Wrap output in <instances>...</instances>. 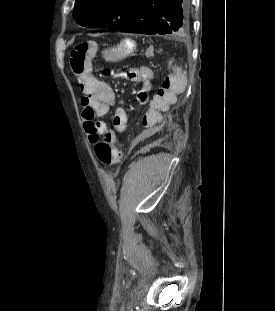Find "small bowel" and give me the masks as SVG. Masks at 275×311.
<instances>
[{"label": "small bowel", "instance_id": "small-bowel-1", "mask_svg": "<svg viewBox=\"0 0 275 311\" xmlns=\"http://www.w3.org/2000/svg\"><path fill=\"white\" fill-rule=\"evenodd\" d=\"M166 73H155L151 65H140L139 69H131L129 78L141 82V91H138L136 101L141 103L144 112H141L140 122L142 129H153L162 121L166 112H173L177 108L180 98H186L189 87L187 75L179 69L177 56H166ZM152 80V82L150 81ZM78 83L85 96L81 99L83 105L81 119L84 130L90 142L91 137L114 129L115 133H124L127 129V114L123 109V101L117 100L112 87L102 79L92 74H86ZM152 85V86H151ZM157 87V92H153ZM148 103V105H146ZM113 110L112 123L95 121V117L105 116Z\"/></svg>", "mask_w": 275, "mask_h": 311}]
</instances>
